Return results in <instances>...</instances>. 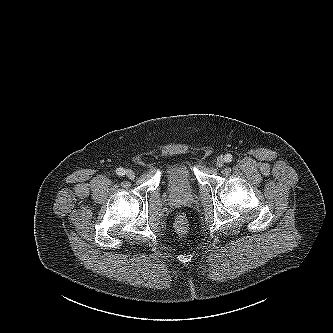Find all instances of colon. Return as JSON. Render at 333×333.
I'll list each match as a JSON object with an SVG mask.
<instances>
[{
	"instance_id": "1",
	"label": "colon",
	"mask_w": 333,
	"mask_h": 333,
	"mask_svg": "<svg viewBox=\"0 0 333 333\" xmlns=\"http://www.w3.org/2000/svg\"><path fill=\"white\" fill-rule=\"evenodd\" d=\"M175 229L179 234L185 235L191 229L190 220L184 214L179 215L175 221Z\"/></svg>"
}]
</instances>
